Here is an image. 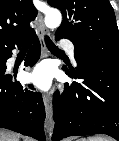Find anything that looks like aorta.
<instances>
[{
  "label": "aorta",
  "mask_w": 119,
  "mask_h": 141,
  "mask_svg": "<svg viewBox=\"0 0 119 141\" xmlns=\"http://www.w3.org/2000/svg\"><path fill=\"white\" fill-rule=\"evenodd\" d=\"M62 21L61 13L56 9H50L46 12L45 15V25L50 28L54 29L57 28Z\"/></svg>",
  "instance_id": "aorta-1"
}]
</instances>
